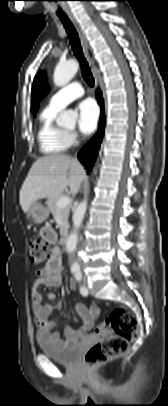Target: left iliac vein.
Returning <instances> with one entry per match:
<instances>
[{
	"instance_id": "left-iliac-vein-1",
	"label": "left iliac vein",
	"mask_w": 168,
	"mask_h": 406,
	"mask_svg": "<svg viewBox=\"0 0 168 406\" xmlns=\"http://www.w3.org/2000/svg\"><path fill=\"white\" fill-rule=\"evenodd\" d=\"M83 280H84V283L86 284V278L85 277L83 278Z\"/></svg>"
}]
</instances>
